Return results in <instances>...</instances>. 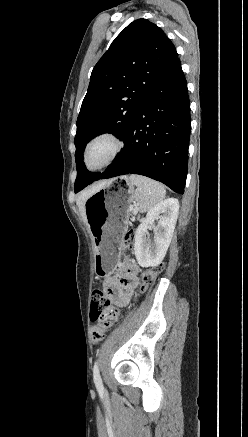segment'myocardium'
<instances>
[{
	"instance_id": "obj_1",
	"label": "myocardium",
	"mask_w": 248,
	"mask_h": 437,
	"mask_svg": "<svg viewBox=\"0 0 248 437\" xmlns=\"http://www.w3.org/2000/svg\"><path fill=\"white\" fill-rule=\"evenodd\" d=\"M100 141L110 142L112 145V149L100 163L96 165H91L89 161L90 151L92 147ZM123 149H124V142L116 133L112 131H102L96 133L85 144L83 150V158H82L84 168L89 172L100 171L108 167L110 164H112L117 159V157L121 154Z\"/></svg>"
}]
</instances>
